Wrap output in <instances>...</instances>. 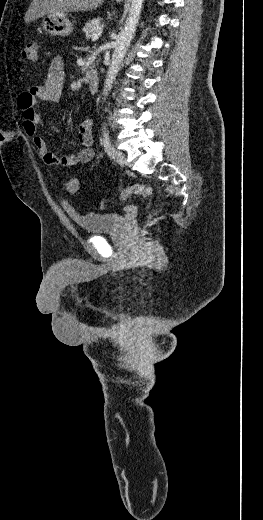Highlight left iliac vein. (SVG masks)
I'll return each mask as SVG.
<instances>
[{
  "mask_svg": "<svg viewBox=\"0 0 263 520\" xmlns=\"http://www.w3.org/2000/svg\"><path fill=\"white\" fill-rule=\"evenodd\" d=\"M111 155H112V158L113 160L121 165V166H125L127 164V161H126V156L123 152L115 149V148H112L111 150Z\"/></svg>",
  "mask_w": 263,
  "mask_h": 520,
  "instance_id": "left-iliac-vein-1",
  "label": "left iliac vein"
}]
</instances>
